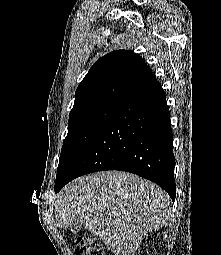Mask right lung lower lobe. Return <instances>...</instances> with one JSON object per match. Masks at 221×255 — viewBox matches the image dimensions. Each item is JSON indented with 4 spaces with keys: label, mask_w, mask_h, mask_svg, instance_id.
I'll return each mask as SVG.
<instances>
[{
    "label": "right lung lower lobe",
    "mask_w": 221,
    "mask_h": 255,
    "mask_svg": "<svg viewBox=\"0 0 221 255\" xmlns=\"http://www.w3.org/2000/svg\"><path fill=\"white\" fill-rule=\"evenodd\" d=\"M172 138L166 97L156 81L116 109L54 190L87 173L122 170L157 183L174 201Z\"/></svg>",
    "instance_id": "right-lung-lower-lobe-1"
}]
</instances>
